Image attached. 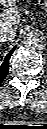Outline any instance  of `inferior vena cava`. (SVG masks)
I'll use <instances>...</instances> for the list:
<instances>
[{
	"mask_svg": "<svg viewBox=\"0 0 47 129\" xmlns=\"http://www.w3.org/2000/svg\"><path fill=\"white\" fill-rule=\"evenodd\" d=\"M15 30L11 27L4 26L0 29V41L12 40L15 37Z\"/></svg>",
	"mask_w": 47,
	"mask_h": 129,
	"instance_id": "602c4592",
	"label": "inferior vena cava"
}]
</instances>
